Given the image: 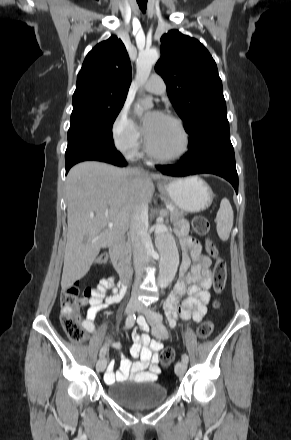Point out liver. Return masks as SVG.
<instances>
[{
    "mask_svg": "<svg viewBox=\"0 0 291 440\" xmlns=\"http://www.w3.org/2000/svg\"><path fill=\"white\" fill-rule=\"evenodd\" d=\"M158 178L164 177L97 161L71 168L66 179L68 230L62 289L88 273L101 248L125 235L137 206L148 210L154 194L152 179Z\"/></svg>",
    "mask_w": 291,
    "mask_h": 440,
    "instance_id": "6515ba94",
    "label": "liver"
}]
</instances>
